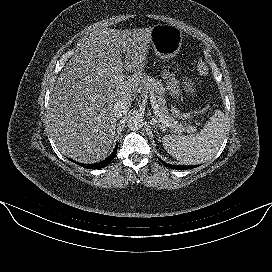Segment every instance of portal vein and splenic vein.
Wrapping results in <instances>:
<instances>
[{
  "label": "portal vein and splenic vein",
  "mask_w": 272,
  "mask_h": 272,
  "mask_svg": "<svg viewBox=\"0 0 272 272\" xmlns=\"http://www.w3.org/2000/svg\"><path fill=\"white\" fill-rule=\"evenodd\" d=\"M150 101H151V104H152V108H153L154 114L157 117V119L162 124H164L166 127H170L171 125L168 123L167 120H165L163 118V116L159 112V106L157 104L156 97H155V95H154L153 92H150ZM186 129H187V131H190V132H195L196 131L195 127H193V126H186ZM179 131L182 132V130H179Z\"/></svg>",
  "instance_id": "portal-vein-and-splenic-vein-1"
}]
</instances>
